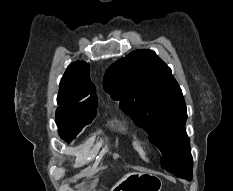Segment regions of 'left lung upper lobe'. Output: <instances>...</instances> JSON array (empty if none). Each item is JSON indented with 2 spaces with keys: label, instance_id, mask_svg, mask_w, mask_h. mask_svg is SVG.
Segmentation results:
<instances>
[{
  "label": "left lung upper lobe",
  "instance_id": "left-lung-upper-lobe-1",
  "mask_svg": "<svg viewBox=\"0 0 233 191\" xmlns=\"http://www.w3.org/2000/svg\"><path fill=\"white\" fill-rule=\"evenodd\" d=\"M103 85L160 149L164 169L177 176L192 172L184 97L171 69L155 52L135 50L118 60L107 69Z\"/></svg>",
  "mask_w": 233,
  "mask_h": 191
}]
</instances>
